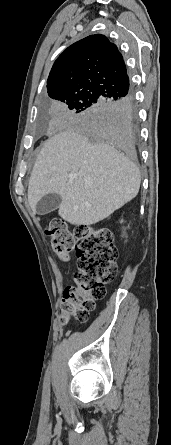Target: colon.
<instances>
[{
	"instance_id": "colon-1",
	"label": "colon",
	"mask_w": 171,
	"mask_h": 445,
	"mask_svg": "<svg viewBox=\"0 0 171 445\" xmlns=\"http://www.w3.org/2000/svg\"><path fill=\"white\" fill-rule=\"evenodd\" d=\"M46 234L61 260L67 261L74 250L78 259L75 285L64 291L60 320L66 323L75 317L84 322L94 310L95 301L105 298V283L116 276L117 249L112 234L98 226H79L71 232L60 220L51 221Z\"/></svg>"
}]
</instances>
